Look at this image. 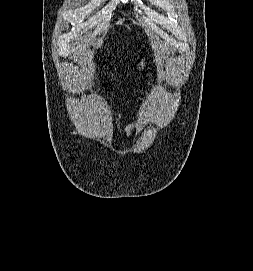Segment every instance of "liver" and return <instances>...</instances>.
I'll list each match as a JSON object with an SVG mask.
<instances>
[{"instance_id":"1","label":"liver","mask_w":253,"mask_h":271,"mask_svg":"<svg viewBox=\"0 0 253 271\" xmlns=\"http://www.w3.org/2000/svg\"><path fill=\"white\" fill-rule=\"evenodd\" d=\"M87 72H83L82 75L79 77L78 81H79V86H81V88H84L86 86V78H87Z\"/></svg>"}]
</instances>
